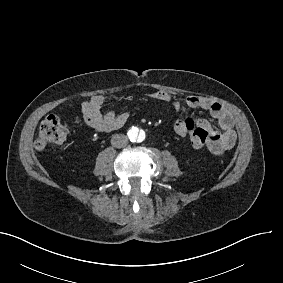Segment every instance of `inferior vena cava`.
<instances>
[{
    "instance_id": "obj_1",
    "label": "inferior vena cava",
    "mask_w": 283,
    "mask_h": 283,
    "mask_svg": "<svg viewBox=\"0 0 283 283\" xmlns=\"http://www.w3.org/2000/svg\"><path fill=\"white\" fill-rule=\"evenodd\" d=\"M128 144V138L124 134H115L111 138V145L115 148H124Z\"/></svg>"
}]
</instances>
